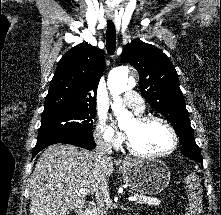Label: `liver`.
I'll return each mask as SVG.
<instances>
[{
	"mask_svg": "<svg viewBox=\"0 0 221 215\" xmlns=\"http://www.w3.org/2000/svg\"><path fill=\"white\" fill-rule=\"evenodd\" d=\"M113 172V161L68 144L49 146L29 180L30 215H68L85 202L77 190L95 192L97 181Z\"/></svg>",
	"mask_w": 221,
	"mask_h": 215,
	"instance_id": "1",
	"label": "liver"
}]
</instances>
